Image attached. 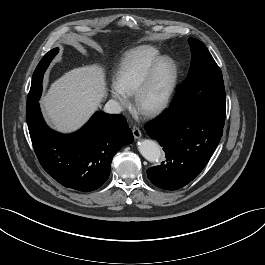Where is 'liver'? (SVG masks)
Segmentation results:
<instances>
[{
	"label": "liver",
	"mask_w": 265,
	"mask_h": 265,
	"mask_svg": "<svg viewBox=\"0 0 265 265\" xmlns=\"http://www.w3.org/2000/svg\"><path fill=\"white\" fill-rule=\"evenodd\" d=\"M107 91L103 68L87 65L74 68L53 82L41 105L53 127L69 133L87 122Z\"/></svg>",
	"instance_id": "liver-1"
}]
</instances>
